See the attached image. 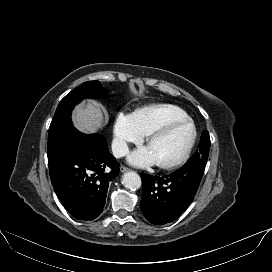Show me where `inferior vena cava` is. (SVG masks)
Returning a JSON list of instances; mask_svg holds the SVG:
<instances>
[{
  "mask_svg": "<svg viewBox=\"0 0 272 272\" xmlns=\"http://www.w3.org/2000/svg\"><path fill=\"white\" fill-rule=\"evenodd\" d=\"M112 153L116 158H121L128 154L129 148L125 141L115 139L112 142Z\"/></svg>",
  "mask_w": 272,
  "mask_h": 272,
  "instance_id": "602c4592",
  "label": "inferior vena cava"
}]
</instances>
